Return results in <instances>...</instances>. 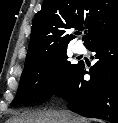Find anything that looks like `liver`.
Returning a JSON list of instances; mask_svg holds the SVG:
<instances>
[{
    "label": "liver",
    "instance_id": "6515ba94",
    "mask_svg": "<svg viewBox=\"0 0 118 123\" xmlns=\"http://www.w3.org/2000/svg\"><path fill=\"white\" fill-rule=\"evenodd\" d=\"M7 123H88V121L69 110H49L29 112L9 119Z\"/></svg>",
    "mask_w": 118,
    "mask_h": 123
}]
</instances>
